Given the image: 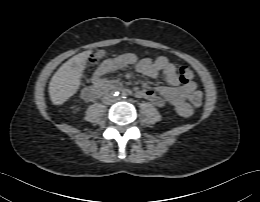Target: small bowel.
Segmentation results:
<instances>
[{
    "mask_svg": "<svg viewBox=\"0 0 260 202\" xmlns=\"http://www.w3.org/2000/svg\"><path fill=\"white\" fill-rule=\"evenodd\" d=\"M132 65H135L137 71L145 77L156 78L158 75H162L168 84L156 88L136 87L134 93L137 97L145 98L157 107H162L169 102L180 116L185 118L191 116L192 108L186 102V96L194 91L197 85L194 81L180 84L175 65L165 56H160L155 60L138 59L133 54H122L109 58L98 67L91 79V84L95 86L100 82L113 83L118 80V77L105 78L107 74Z\"/></svg>",
    "mask_w": 260,
    "mask_h": 202,
    "instance_id": "1",
    "label": "small bowel"
}]
</instances>
